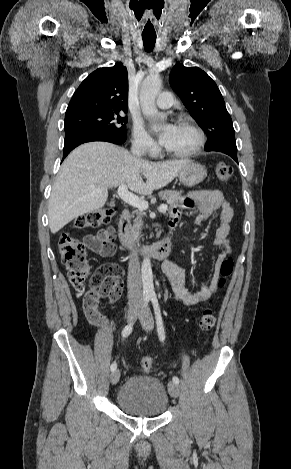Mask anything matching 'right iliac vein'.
Segmentation results:
<instances>
[{
    "label": "right iliac vein",
    "mask_w": 291,
    "mask_h": 469,
    "mask_svg": "<svg viewBox=\"0 0 291 469\" xmlns=\"http://www.w3.org/2000/svg\"><path fill=\"white\" fill-rule=\"evenodd\" d=\"M140 307L139 306H130L128 308V311H127V321L128 323L132 324L135 322L137 316L140 314ZM119 378H120V371L119 370H115V371H112L111 375H110V381L113 385L117 384L118 381H119Z\"/></svg>",
    "instance_id": "1"
}]
</instances>
